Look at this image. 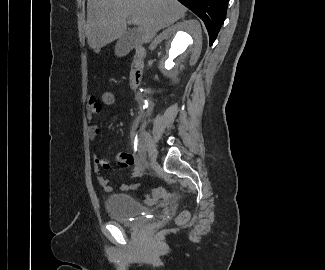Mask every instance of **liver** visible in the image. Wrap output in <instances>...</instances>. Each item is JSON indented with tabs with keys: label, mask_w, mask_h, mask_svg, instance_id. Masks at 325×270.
<instances>
[{
	"label": "liver",
	"mask_w": 325,
	"mask_h": 270,
	"mask_svg": "<svg viewBox=\"0 0 325 270\" xmlns=\"http://www.w3.org/2000/svg\"><path fill=\"white\" fill-rule=\"evenodd\" d=\"M186 13L177 0H88L85 33L91 49L99 50L120 38L127 29L130 16L139 20L138 32L143 43L153 40L156 33ZM155 40L151 48L157 45Z\"/></svg>",
	"instance_id": "1"
}]
</instances>
